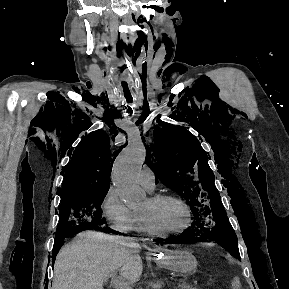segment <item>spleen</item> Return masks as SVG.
<instances>
[{"label": "spleen", "mask_w": 289, "mask_h": 289, "mask_svg": "<svg viewBox=\"0 0 289 289\" xmlns=\"http://www.w3.org/2000/svg\"><path fill=\"white\" fill-rule=\"evenodd\" d=\"M232 288L233 289H240V280L237 276L233 279Z\"/></svg>", "instance_id": "obj_1"}]
</instances>
